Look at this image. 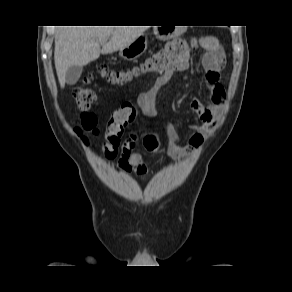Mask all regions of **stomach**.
<instances>
[{
    "mask_svg": "<svg viewBox=\"0 0 292 292\" xmlns=\"http://www.w3.org/2000/svg\"><path fill=\"white\" fill-rule=\"evenodd\" d=\"M154 34L160 40H167L176 35L174 28L166 26H155ZM147 49V39L144 35H140L129 46L120 50V56L125 60H134L141 56Z\"/></svg>",
    "mask_w": 292,
    "mask_h": 292,
    "instance_id": "obj_1",
    "label": "stomach"
}]
</instances>
